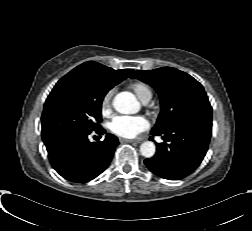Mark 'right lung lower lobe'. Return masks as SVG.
Returning a JSON list of instances; mask_svg holds the SVG:
<instances>
[{
    "label": "right lung lower lobe",
    "mask_w": 252,
    "mask_h": 231,
    "mask_svg": "<svg viewBox=\"0 0 252 231\" xmlns=\"http://www.w3.org/2000/svg\"><path fill=\"white\" fill-rule=\"evenodd\" d=\"M95 132L104 134L105 130L101 127ZM89 134L65 135L46 145L52 167L71 182L85 183L96 178L108 167L119 144L112 134L92 143Z\"/></svg>",
    "instance_id": "obj_1"
}]
</instances>
